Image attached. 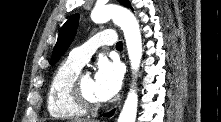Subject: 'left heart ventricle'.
<instances>
[{"mask_svg":"<svg viewBox=\"0 0 221 122\" xmlns=\"http://www.w3.org/2000/svg\"><path fill=\"white\" fill-rule=\"evenodd\" d=\"M82 88L85 95L95 102H100L94 91V79L90 76H83Z\"/></svg>","mask_w":221,"mask_h":122,"instance_id":"obj_1","label":"left heart ventricle"}]
</instances>
